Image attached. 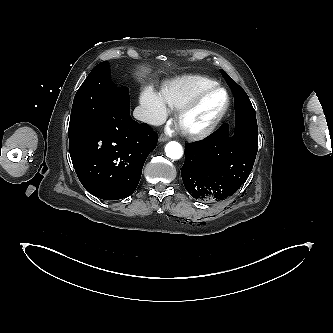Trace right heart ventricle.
Masks as SVG:
<instances>
[{
	"instance_id": "right-heart-ventricle-1",
	"label": "right heart ventricle",
	"mask_w": 333,
	"mask_h": 333,
	"mask_svg": "<svg viewBox=\"0 0 333 333\" xmlns=\"http://www.w3.org/2000/svg\"><path fill=\"white\" fill-rule=\"evenodd\" d=\"M215 84L214 79L206 76L183 75L166 82L161 97L169 108L178 110L200 91Z\"/></svg>"
}]
</instances>
